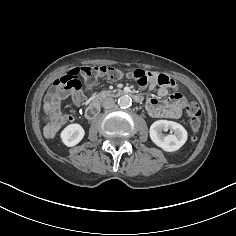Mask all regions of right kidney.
Instances as JSON below:
<instances>
[{
  "mask_svg": "<svg viewBox=\"0 0 236 236\" xmlns=\"http://www.w3.org/2000/svg\"><path fill=\"white\" fill-rule=\"evenodd\" d=\"M85 131L80 124L74 123L66 126L61 132L62 142L68 146L72 147L77 145L84 137Z\"/></svg>",
  "mask_w": 236,
  "mask_h": 236,
  "instance_id": "1",
  "label": "right kidney"
}]
</instances>
